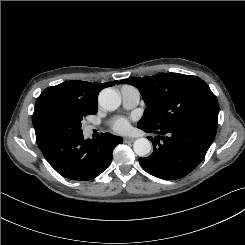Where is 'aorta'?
<instances>
[{"mask_svg":"<svg viewBox=\"0 0 245 245\" xmlns=\"http://www.w3.org/2000/svg\"><path fill=\"white\" fill-rule=\"evenodd\" d=\"M98 101L100 106L104 109L114 111L120 106L121 98L116 90L112 88H105L100 92ZM133 149L138 156L143 157L150 153L151 143L146 138H139L135 140Z\"/></svg>","mask_w":245,"mask_h":245,"instance_id":"aorta-1","label":"aorta"}]
</instances>
